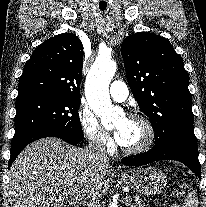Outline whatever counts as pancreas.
<instances>
[{
  "label": "pancreas",
  "instance_id": "obj_1",
  "mask_svg": "<svg viewBox=\"0 0 206 207\" xmlns=\"http://www.w3.org/2000/svg\"><path fill=\"white\" fill-rule=\"evenodd\" d=\"M93 207H103V206H93ZM129 207H145V204L141 203V202H130L129 203Z\"/></svg>",
  "mask_w": 206,
  "mask_h": 207
}]
</instances>
